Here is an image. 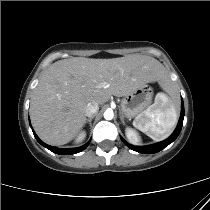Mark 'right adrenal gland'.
<instances>
[{
    "mask_svg": "<svg viewBox=\"0 0 210 210\" xmlns=\"http://www.w3.org/2000/svg\"><path fill=\"white\" fill-rule=\"evenodd\" d=\"M93 118H94V115L93 116H90L89 119H87L86 122H85V123H89V126L90 127L92 126V123L91 122H92V119Z\"/></svg>",
    "mask_w": 210,
    "mask_h": 210,
    "instance_id": "right-adrenal-gland-1",
    "label": "right adrenal gland"
}]
</instances>
